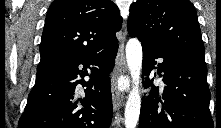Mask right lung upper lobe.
<instances>
[{"instance_id": "1", "label": "right lung upper lobe", "mask_w": 221, "mask_h": 128, "mask_svg": "<svg viewBox=\"0 0 221 128\" xmlns=\"http://www.w3.org/2000/svg\"><path fill=\"white\" fill-rule=\"evenodd\" d=\"M121 24L119 9L111 0H54L46 16L37 70L118 41L115 33Z\"/></svg>"}]
</instances>
